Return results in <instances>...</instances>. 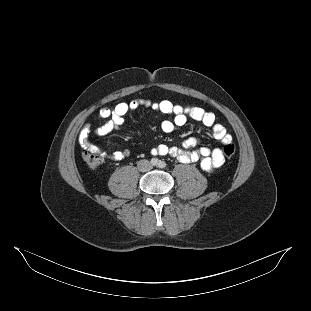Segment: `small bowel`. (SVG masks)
Returning a JSON list of instances; mask_svg holds the SVG:
<instances>
[{
  "instance_id": "obj_1",
  "label": "small bowel",
  "mask_w": 311,
  "mask_h": 311,
  "mask_svg": "<svg viewBox=\"0 0 311 311\" xmlns=\"http://www.w3.org/2000/svg\"><path fill=\"white\" fill-rule=\"evenodd\" d=\"M142 105L152 106L159 112L173 116L172 120H166L161 124V129L165 133L174 132L178 127L183 126L188 118H191L209 127L210 134L214 139L223 144L232 141V137L227 133L224 126L216 122L215 115L200 107L181 106L174 104L170 100H162L158 103H151L145 100H133L130 102H121L112 109H100L97 115L98 118L107 119V121L103 125L97 127L86 124L79 134L81 146L84 149H90L100 153V147L89 141L90 135L94 133L97 136H105L113 130L120 129L124 125V116ZM197 144L198 140L192 137L184 141L183 148L161 144L152 148L150 152L152 155H169L175 157L182 163L199 161L201 168L205 171H213L223 165L225 157L221 149H210L207 147L194 148ZM126 156H128V152L125 150H117L112 154V158L115 160H121Z\"/></svg>"
}]
</instances>
